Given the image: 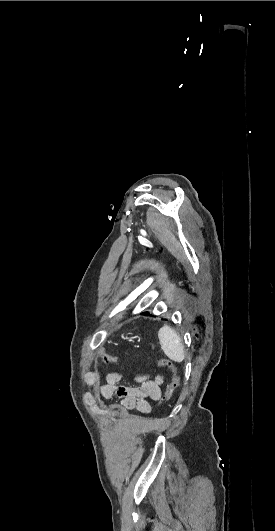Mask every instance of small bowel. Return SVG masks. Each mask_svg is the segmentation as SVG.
<instances>
[{
  "label": "small bowel",
  "mask_w": 275,
  "mask_h": 531,
  "mask_svg": "<svg viewBox=\"0 0 275 531\" xmlns=\"http://www.w3.org/2000/svg\"><path fill=\"white\" fill-rule=\"evenodd\" d=\"M124 377L120 372H110L106 376V383L100 387V394L104 399L117 396V389L122 387L125 396L121 397L120 407L129 411L136 409L142 414L151 411L150 401H157L162 396L164 377L160 374L154 376H139L135 379V386H122Z\"/></svg>",
  "instance_id": "c3829d8e"
}]
</instances>
